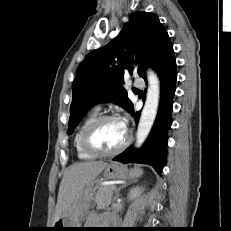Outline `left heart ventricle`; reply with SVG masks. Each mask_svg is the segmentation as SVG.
Masks as SVG:
<instances>
[{"mask_svg":"<svg viewBox=\"0 0 231 231\" xmlns=\"http://www.w3.org/2000/svg\"><path fill=\"white\" fill-rule=\"evenodd\" d=\"M126 137V130L119 121H106L94 131L93 145L101 151H111L119 147Z\"/></svg>","mask_w":231,"mask_h":231,"instance_id":"obj_1","label":"left heart ventricle"}]
</instances>
